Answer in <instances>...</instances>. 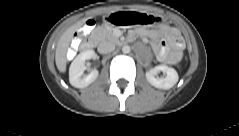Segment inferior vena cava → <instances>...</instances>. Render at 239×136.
Wrapping results in <instances>:
<instances>
[{
  "label": "inferior vena cava",
  "mask_w": 239,
  "mask_h": 136,
  "mask_svg": "<svg viewBox=\"0 0 239 136\" xmlns=\"http://www.w3.org/2000/svg\"><path fill=\"white\" fill-rule=\"evenodd\" d=\"M115 44L111 41H103L98 46V52L101 54H106L114 51Z\"/></svg>",
  "instance_id": "obj_1"
}]
</instances>
